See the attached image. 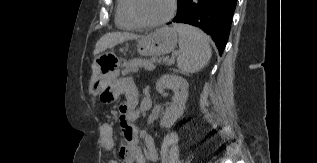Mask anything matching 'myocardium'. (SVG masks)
<instances>
[{
  "label": "myocardium",
  "mask_w": 317,
  "mask_h": 163,
  "mask_svg": "<svg viewBox=\"0 0 317 163\" xmlns=\"http://www.w3.org/2000/svg\"><path fill=\"white\" fill-rule=\"evenodd\" d=\"M136 2H137L136 0H129L128 10H129V13H130L132 19L140 27H144V28H156V27H160V26L165 25L174 17L176 10H177V0H171L170 9H169V12L167 13V15L158 21L149 22V21H145L144 19H142L140 17V15L138 14L137 9H136Z\"/></svg>",
  "instance_id": "obj_1"
}]
</instances>
